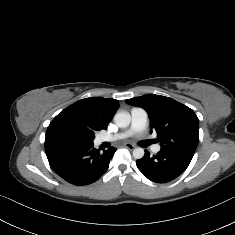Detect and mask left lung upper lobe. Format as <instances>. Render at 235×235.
<instances>
[{
	"mask_svg": "<svg viewBox=\"0 0 235 235\" xmlns=\"http://www.w3.org/2000/svg\"><path fill=\"white\" fill-rule=\"evenodd\" d=\"M126 103L148 112L161 149L193 157L199 141V119L191 108L155 94L127 99Z\"/></svg>",
	"mask_w": 235,
	"mask_h": 235,
	"instance_id": "obj_1",
	"label": "left lung upper lobe"
}]
</instances>
